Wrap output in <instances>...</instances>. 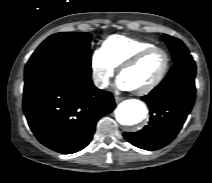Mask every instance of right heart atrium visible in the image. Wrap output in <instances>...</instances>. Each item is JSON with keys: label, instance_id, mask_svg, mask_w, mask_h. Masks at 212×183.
Listing matches in <instances>:
<instances>
[{"label": "right heart atrium", "instance_id": "1", "mask_svg": "<svg viewBox=\"0 0 212 183\" xmlns=\"http://www.w3.org/2000/svg\"><path fill=\"white\" fill-rule=\"evenodd\" d=\"M115 66L103 48L97 49L91 58V72L94 83L99 88H106L115 73Z\"/></svg>", "mask_w": 212, "mask_h": 183}]
</instances>
